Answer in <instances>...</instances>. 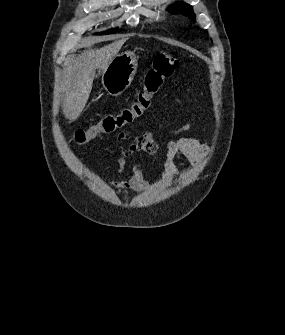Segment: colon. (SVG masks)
I'll return each mask as SVG.
<instances>
[{
  "label": "colon",
  "instance_id": "5ec220e1",
  "mask_svg": "<svg viewBox=\"0 0 285 335\" xmlns=\"http://www.w3.org/2000/svg\"><path fill=\"white\" fill-rule=\"evenodd\" d=\"M178 66L179 61L173 54L167 52L157 54L146 72L143 89L136 95L134 101L118 113L107 114L97 123L77 130L73 136L74 142L77 145H84L99 134L111 133L132 123L150 107L154 95L174 74Z\"/></svg>",
  "mask_w": 285,
  "mask_h": 335
}]
</instances>
